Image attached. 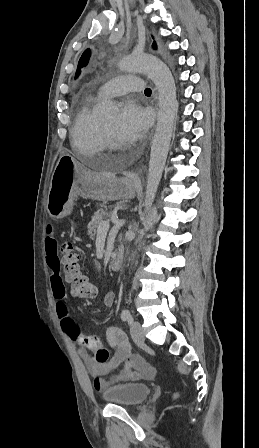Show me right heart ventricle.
Listing matches in <instances>:
<instances>
[{
    "label": "right heart ventricle",
    "mask_w": 259,
    "mask_h": 448,
    "mask_svg": "<svg viewBox=\"0 0 259 448\" xmlns=\"http://www.w3.org/2000/svg\"><path fill=\"white\" fill-rule=\"evenodd\" d=\"M100 99L98 94L89 93L84 101L77 105L71 138L76 149L88 152L84 153L86 157L92 152H101L105 149L100 131L101 121L93 113V108ZM82 163L89 162L85 158Z\"/></svg>",
    "instance_id": "e07e8e85"
}]
</instances>
